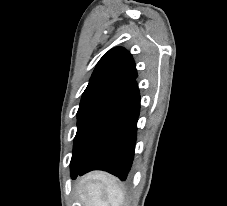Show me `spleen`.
<instances>
[{
	"mask_svg": "<svg viewBox=\"0 0 227 206\" xmlns=\"http://www.w3.org/2000/svg\"><path fill=\"white\" fill-rule=\"evenodd\" d=\"M96 177L100 183H86V195L82 196V200L88 206H122L124 195L117 183L104 174Z\"/></svg>",
	"mask_w": 227,
	"mask_h": 206,
	"instance_id": "spleen-1",
	"label": "spleen"
}]
</instances>
